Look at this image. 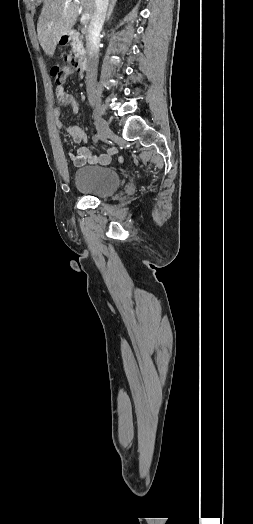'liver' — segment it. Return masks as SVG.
Wrapping results in <instances>:
<instances>
[{
	"label": "liver",
	"mask_w": 253,
	"mask_h": 524,
	"mask_svg": "<svg viewBox=\"0 0 253 524\" xmlns=\"http://www.w3.org/2000/svg\"><path fill=\"white\" fill-rule=\"evenodd\" d=\"M86 13L93 14L95 0H80ZM78 4L72 0H44L37 23L38 40L44 52L53 56L62 35L67 34L78 16Z\"/></svg>",
	"instance_id": "6515ba94"
}]
</instances>
